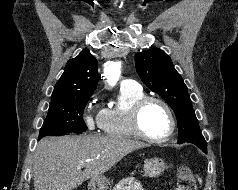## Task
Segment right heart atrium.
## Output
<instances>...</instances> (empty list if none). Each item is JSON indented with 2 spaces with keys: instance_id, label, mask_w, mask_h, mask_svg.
I'll use <instances>...</instances> for the list:
<instances>
[{
  "instance_id": "1",
  "label": "right heart atrium",
  "mask_w": 238,
  "mask_h": 190,
  "mask_svg": "<svg viewBox=\"0 0 238 190\" xmlns=\"http://www.w3.org/2000/svg\"><path fill=\"white\" fill-rule=\"evenodd\" d=\"M98 99L96 94L92 95L84 109V122L88 129L95 130L101 128L103 110L97 107Z\"/></svg>"
}]
</instances>
